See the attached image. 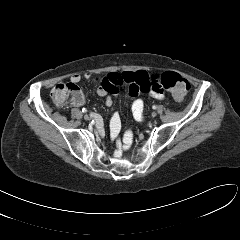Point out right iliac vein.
I'll use <instances>...</instances> for the list:
<instances>
[{"label":"right iliac vein","instance_id":"63e3f726","mask_svg":"<svg viewBox=\"0 0 240 240\" xmlns=\"http://www.w3.org/2000/svg\"><path fill=\"white\" fill-rule=\"evenodd\" d=\"M84 119L87 120V121L90 120L89 115L85 114V115H84Z\"/></svg>","mask_w":240,"mask_h":240}]
</instances>
